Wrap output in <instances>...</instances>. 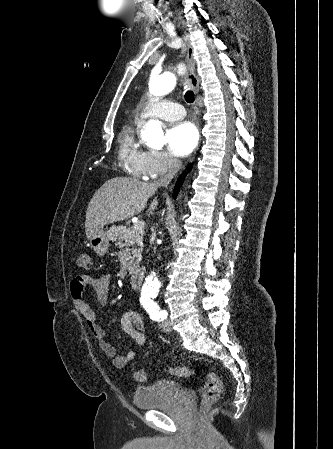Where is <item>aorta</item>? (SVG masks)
Wrapping results in <instances>:
<instances>
[{
	"mask_svg": "<svg viewBox=\"0 0 333 449\" xmlns=\"http://www.w3.org/2000/svg\"><path fill=\"white\" fill-rule=\"evenodd\" d=\"M176 77L171 72L152 71L149 81V91L154 96H164L172 91ZM141 138L154 149H161L164 145V133L160 122L151 120L141 130ZM160 287L158 278L151 274L146 278L141 294L153 295Z\"/></svg>",
	"mask_w": 333,
	"mask_h": 449,
	"instance_id": "aorta-1",
	"label": "aorta"
}]
</instances>
